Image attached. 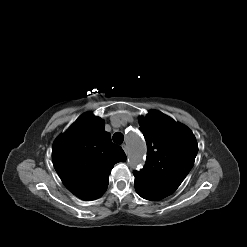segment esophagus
<instances>
[{"instance_id":"1","label":"esophagus","mask_w":247,"mask_h":247,"mask_svg":"<svg viewBox=\"0 0 247 247\" xmlns=\"http://www.w3.org/2000/svg\"><path fill=\"white\" fill-rule=\"evenodd\" d=\"M122 148L126 154H128V146L126 144L122 145Z\"/></svg>"}]
</instances>
